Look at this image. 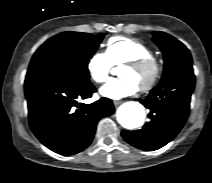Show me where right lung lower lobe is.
Returning a JSON list of instances; mask_svg holds the SVG:
<instances>
[{"label":"right lung lower lobe","mask_w":212,"mask_h":183,"mask_svg":"<svg viewBox=\"0 0 212 183\" xmlns=\"http://www.w3.org/2000/svg\"><path fill=\"white\" fill-rule=\"evenodd\" d=\"M96 91L90 80L31 77L25 80L30 127L49 149L73 155L87 148L97 122L114 113L108 98L86 105L77 99L90 98Z\"/></svg>","instance_id":"98d812e1"}]
</instances>
